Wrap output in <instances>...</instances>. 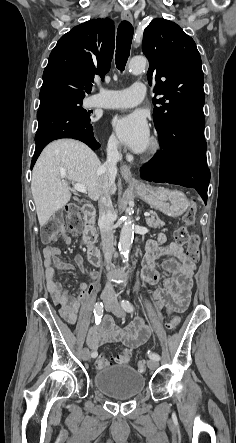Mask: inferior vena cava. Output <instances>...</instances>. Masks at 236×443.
<instances>
[{
  "instance_id": "602c4592",
  "label": "inferior vena cava",
  "mask_w": 236,
  "mask_h": 443,
  "mask_svg": "<svg viewBox=\"0 0 236 443\" xmlns=\"http://www.w3.org/2000/svg\"><path fill=\"white\" fill-rule=\"evenodd\" d=\"M122 159V154L118 151V140L111 137L108 141L107 160L98 169V174L103 179V195L98 201L99 206V220L102 239V250L106 261V268L110 270L112 253H113V223H114V208L110 197V189L114 184L117 174V162ZM105 303H117V296L114 288L110 282L106 283L105 289Z\"/></svg>"
}]
</instances>
